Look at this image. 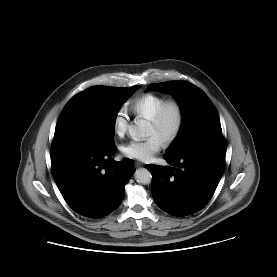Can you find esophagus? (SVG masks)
<instances>
[{
  "label": "esophagus",
  "mask_w": 277,
  "mask_h": 277,
  "mask_svg": "<svg viewBox=\"0 0 277 277\" xmlns=\"http://www.w3.org/2000/svg\"><path fill=\"white\" fill-rule=\"evenodd\" d=\"M135 165H136L137 167H141V166H143V164H142V163H140V162H136V163H135Z\"/></svg>",
  "instance_id": "1"
}]
</instances>
